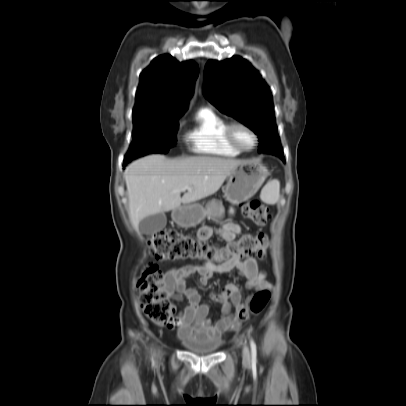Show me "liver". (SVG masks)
<instances>
[{"instance_id": "liver-1", "label": "liver", "mask_w": 406, "mask_h": 406, "mask_svg": "<svg viewBox=\"0 0 406 406\" xmlns=\"http://www.w3.org/2000/svg\"><path fill=\"white\" fill-rule=\"evenodd\" d=\"M245 161L211 156L168 159L150 155L127 166L124 176L129 216L134 228L142 219L174 210L216 193L225 179ZM185 186L190 190L181 198Z\"/></svg>"}]
</instances>
